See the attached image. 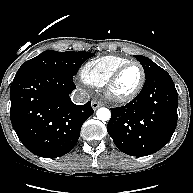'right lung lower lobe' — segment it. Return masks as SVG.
<instances>
[{"instance_id":"98d812e1","label":"right lung lower lobe","mask_w":193,"mask_h":193,"mask_svg":"<svg viewBox=\"0 0 193 193\" xmlns=\"http://www.w3.org/2000/svg\"><path fill=\"white\" fill-rule=\"evenodd\" d=\"M72 79L50 73L15 76L10 118L23 145L44 158L60 157L77 143L81 126L94 110L91 102L75 105Z\"/></svg>"}]
</instances>
